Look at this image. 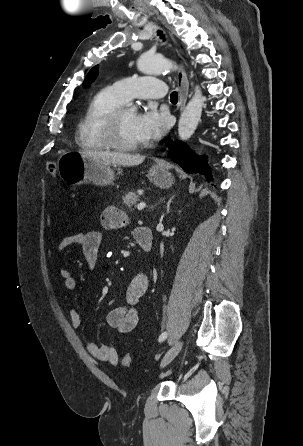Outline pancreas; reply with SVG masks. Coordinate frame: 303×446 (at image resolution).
Returning a JSON list of instances; mask_svg holds the SVG:
<instances>
[{"label": "pancreas", "instance_id": "pancreas-1", "mask_svg": "<svg viewBox=\"0 0 303 446\" xmlns=\"http://www.w3.org/2000/svg\"><path fill=\"white\" fill-rule=\"evenodd\" d=\"M122 199L123 204L130 209H132V207L135 206L139 201V197L136 195L135 192H128L122 197Z\"/></svg>", "mask_w": 303, "mask_h": 446}]
</instances>
